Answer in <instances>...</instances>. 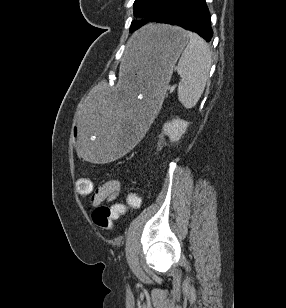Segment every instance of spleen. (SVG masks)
<instances>
[{
	"mask_svg": "<svg viewBox=\"0 0 286 308\" xmlns=\"http://www.w3.org/2000/svg\"><path fill=\"white\" fill-rule=\"evenodd\" d=\"M189 43L177 65L181 76L178 86V99L190 109L199 101L205 89L212 64L211 51L207 43L196 33L186 31Z\"/></svg>",
	"mask_w": 286,
	"mask_h": 308,
	"instance_id": "obj_1",
	"label": "spleen"
}]
</instances>
